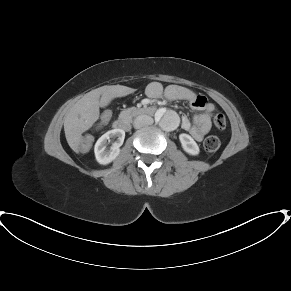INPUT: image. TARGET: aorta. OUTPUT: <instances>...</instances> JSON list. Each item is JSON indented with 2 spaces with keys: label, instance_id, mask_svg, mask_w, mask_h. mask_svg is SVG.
Segmentation results:
<instances>
[{
  "label": "aorta",
  "instance_id": "obj_1",
  "mask_svg": "<svg viewBox=\"0 0 291 291\" xmlns=\"http://www.w3.org/2000/svg\"><path fill=\"white\" fill-rule=\"evenodd\" d=\"M159 125L166 131L175 130L179 125L178 117L171 111H166L162 114L157 115Z\"/></svg>",
  "mask_w": 291,
  "mask_h": 291
}]
</instances>
